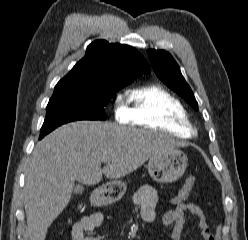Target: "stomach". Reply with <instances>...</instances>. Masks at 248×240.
<instances>
[{
    "label": "stomach",
    "mask_w": 248,
    "mask_h": 240,
    "mask_svg": "<svg viewBox=\"0 0 248 240\" xmlns=\"http://www.w3.org/2000/svg\"><path fill=\"white\" fill-rule=\"evenodd\" d=\"M186 155L178 150L160 153L152 156L148 162L150 177L159 183H172L178 180L187 167ZM126 183L122 181H111L101 189L98 199L103 203H114L119 201L126 192Z\"/></svg>",
    "instance_id": "1"
}]
</instances>
